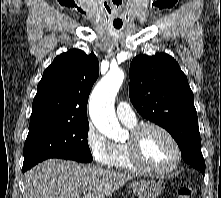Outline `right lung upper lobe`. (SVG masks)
I'll return each mask as SVG.
<instances>
[{
	"mask_svg": "<svg viewBox=\"0 0 221 198\" xmlns=\"http://www.w3.org/2000/svg\"><path fill=\"white\" fill-rule=\"evenodd\" d=\"M98 76L99 62L93 53L72 49L57 56L38 83L30 123L88 121V97Z\"/></svg>",
	"mask_w": 221,
	"mask_h": 198,
	"instance_id": "1",
	"label": "right lung upper lobe"
}]
</instances>
